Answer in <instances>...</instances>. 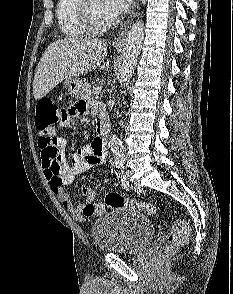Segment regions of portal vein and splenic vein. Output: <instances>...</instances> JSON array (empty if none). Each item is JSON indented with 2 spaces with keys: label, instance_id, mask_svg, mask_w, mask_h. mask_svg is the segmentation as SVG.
<instances>
[{
  "label": "portal vein and splenic vein",
  "instance_id": "1",
  "mask_svg": "<svg viewBox=\"0 0 233 294\" xmlns=\"http://www.w3.org/2000/svg\"><path fill=\"white\" fill-rule=\"evenodd\" d=\"M93 93H94L95 95H99V94L101 93V89H100V88H94V89H93Z\"/></svg>",
  "mask_w": 233,
  "mask_h": 294
}]
</instances>
